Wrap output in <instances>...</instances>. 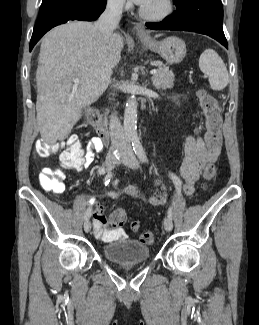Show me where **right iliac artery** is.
<instances>
[{
	"mask_svg": "<svg viewBox=\"0 0 259 325\" xmlns=\"http://www.w3.org/2000/svg\"><path fill=\"white\" fill-rule=\"evenodd\" d=\"M98 173H99L100 175L105 174V173H106V168H105L104 166H101V167L98 169ZM91 214H92V208L89 207V208L86 210L85 215H84L85 220L89 219L90 216H91Z\"/></svg>",
	"mask_w": 259,
	"mask_h": 325,
	"instance_id": "right-iliac-artery-1",
	"label": "right iliac artery"
}]
</instances>
